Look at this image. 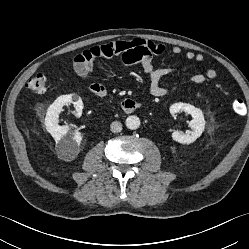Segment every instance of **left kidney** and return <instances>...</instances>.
<instances>
[{
    "mask_svg": "<svg viewBox=\"0 0 249 249\" xmlns=\"http://www.w3.org/2000/svg\"><path fill=\"white\" fill-rule=\"evenodd\" d=\"M180 112H185L192 116V120L189 122V126L192 131L184 134L181 131H174L172 138L174 141L181 144H190L196 141L201 136L205 129V119L202 111L199 108L194 107L187 103H174L170 106V113L175 115Z\"/></svg>",
    "mask_w": 249,
    "mask_h": 249,
    "instance_id": "obj_1",
    "label": "left kidney"
}]
</instances>
